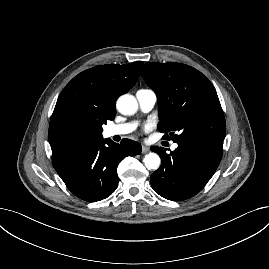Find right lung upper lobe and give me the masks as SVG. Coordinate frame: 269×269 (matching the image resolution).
Masks as SVG:
<instances>
[{"label": "right lung upper lobe", "instance_id": "obj_1", "mask_svg": "<svg viewBox=\"0 0 269 269\" xmlns=\"http://www.w3.org/2000/svg\"><path fill=\"white\" fill-rule=\"evenodd\" d=\"M143 62L99 65L75 76L58 97L48 139L56 155L102 138L98 127L113 120L117 98L139 78Z\"/></svg>", "mask_w": 269, "mask_h": 269}]
</instances>
